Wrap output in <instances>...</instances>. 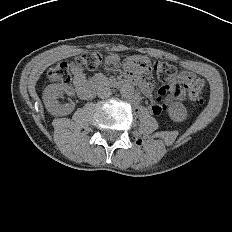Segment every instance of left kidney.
Returning <instances> with one entry per match:
<instances>
[{
    "instance_id": "obj_1",
    "label": "left kidney",
    "mask_w": 232,
    "mask_h": 232,
    "mask_svg": "<svg viewBox=\"0 0 232 232\" xmlns=\"http://www.w3.org/2000/svg\"><path fill=\"white\" fill-rule=\"evenodd\" d=\"M171 120L174 122H183L187 119L188 113L186 107L179 102H175L168 110Z\"/></svg>"
}]
</instances>
